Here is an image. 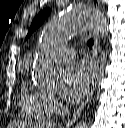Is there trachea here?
I'll list each match as a JSON object with an SVG mask.
<instances>
[{"label": "trachea", "mask_w": 125, "mask_h": 128, "mask_svg": "<svg viewBox=\"0 0 125 128\" xmlns=\"http://www.w3.org/2000/svg\"><path fill=\"white\" fill-rule=\"evenodd\" d=\"M87 44H88V47H89L90 49H92V46H93V44H94L93 39H89L88 42H87Z\"/></svg>", "instance_id": "trachea-1"}]
</instances>
